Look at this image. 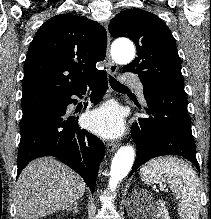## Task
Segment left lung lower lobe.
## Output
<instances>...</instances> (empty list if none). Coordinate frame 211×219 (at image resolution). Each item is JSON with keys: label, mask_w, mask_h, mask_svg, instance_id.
<instances>
[{"label": "left lung lower lobe", "mask_w": 211, "mask_h": 219, "mask_svg": "<svg viewBox=\"0 0 211 219\" xmlns=\"http://www.w3.org/2000/svg\"><path fill=\"white\" fill-rule=\"evenodd\" d=\"M143 92L150 117L132 125L137 153L130 176L151 158L171 154L185 157L199 170L184 87L152 85Z\"/></svg>", "instance_id": "0a47b994"}]
</instances>
